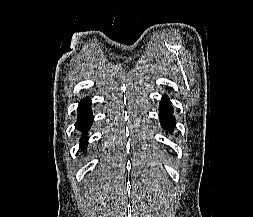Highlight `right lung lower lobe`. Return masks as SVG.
Listing matches in <instances>:
<instances>
[{"mask_svg": "<svg viewBox=\"0 0 253 217\" xmlns=\"http://www.w3.org/2000/svg\"><path fill=\"white\" fill-rule=\"evenodd\" d=\"M91 100L85 98L81 101L78 108V121L76 123V127L78 130L86 133L87 130L90 129V126L93 122V114L91 112ZM86 138H82L84 140ZM87 143V141H85ZM81 147V146H80Z\"/></svg>", "mask_w": 253, "mask_h": 217, "instance_id": "right-lung-lower-lobe-1", "label": "right lung lower lobe"}]
</instances>
